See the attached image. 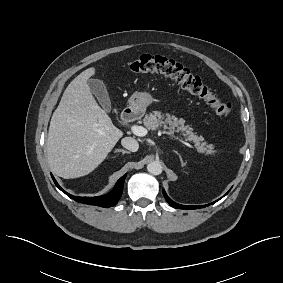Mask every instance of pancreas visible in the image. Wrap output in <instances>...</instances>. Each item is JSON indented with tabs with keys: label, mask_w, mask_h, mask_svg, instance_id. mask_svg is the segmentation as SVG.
Wrapping results in <instances>:
<instances>
[{
	"label": "pancreas",
	"mask_w": 283,
	"mask_h": 283,
	"mask_svg": "<svg viewBox=\"0 0 283 283\" xmlns=\"http://www.w3.org/2000/svg\"><path fill=\"white\" fill-rule=\"evenodd\" d=\"M144 125L151 130H156L163 126L164 129H168L170 133H180L186 141L192 142L200 151L206 152L207 154H214V145L208 144L204 141L202 136L197 135L193 132V128L189 125H185L183 118H177L171 116L169 113L162 114L160 111H154L149 115H146Z\"/></svg>",
	"instance_id": "cf45deb5"
}]
</instances>
